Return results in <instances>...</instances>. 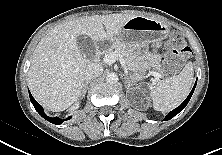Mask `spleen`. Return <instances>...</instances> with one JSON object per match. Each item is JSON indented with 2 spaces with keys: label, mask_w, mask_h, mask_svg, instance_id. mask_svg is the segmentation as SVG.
<instances>
[{
  "label": "spleen",
  "mask_w": 222,
  "mask_h": 155,
  "mask_svg": "<svg viewBox=\"0 0 222 155\" xmlns=\"http://www.w3.org/2000/svg\"><path fill=\"white\" fill-rule=\"evenodd\" d=\"M193 65L188 63L176 76L161 80L150 87V96L156 111H167L180 105L188 96L193 82Z\"/></svg>",
  "instance_id": "1"
}]
</instances>
